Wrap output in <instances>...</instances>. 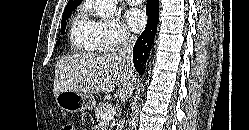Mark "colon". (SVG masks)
Returning <instances> with one entry per match:
<instances>
[{
    "instance_id": "obj_1",
    "label": "colon",
    "mask_w": 249,
    "mask_h": 130,
    "mask_svg": "<svg viewBox=\"0 0 249 130\" xmlns=\"http://www.w3.org/2000/svg\"><path fill=\"white\" fill-rule=\"evenodd\" d=\"M61 130H77L72 123H66L62 126Z\"/></svg>"
}]
</instances>
